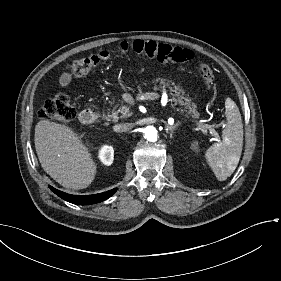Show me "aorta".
I'll return each mask as SVG.
<instances>
[{
  "instance_id": "1",
  "label": "aorta",
  "mask_w": 281,
  "mask_h": 281,
  "mask_svg": "<svg viewBox=\"0 0 281 281\" xmlns=\"http://www.w3.org/2000/svg\"><path fill=\"white\" fill-rule=\"evenodd\" d=\"M144 137L150 141V142H155L157 140V130L153 126H147L144 128Z\"/></svg>"
}]
</instances>
